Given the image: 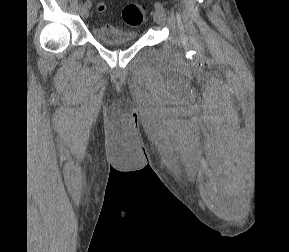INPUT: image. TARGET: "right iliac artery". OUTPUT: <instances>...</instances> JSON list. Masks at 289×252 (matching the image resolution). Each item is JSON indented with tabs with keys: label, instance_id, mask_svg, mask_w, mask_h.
<instances>
[{
	"label": "right iliac artery",
	"instance_id": "1",
	"mask_svg": "<svg viewBox=\"0 0 289 252\" xmlns=\"http://www.w3.org/2000/svg\"><path fill=\"white\" fill-rule=\"evenodd\" d=\"M84 5H86L87 7H91V1L87 0Z\"/></svg>",
	"mask_w": 289,
	"mask_h": 252
}]
</instances>
